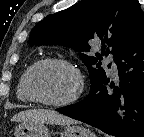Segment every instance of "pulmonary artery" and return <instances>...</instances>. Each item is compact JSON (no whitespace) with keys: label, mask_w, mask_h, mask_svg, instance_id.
<instances>
[{"label":"pulmonary artery","mask_w":144,"mask_h":137,"mask_svg":"<svg viewBox=\"0 0 144 137\" xmlns=\"http://www.w3.org/2000/svg\"><path fill=\"white\" fill-rule=\"evenodd\" d=\"M106 63H110L111 64V69H112V72L114 74L117 73V65L116 63L114 62V56L112 54H109L106 59H105Z\"/></svg>","instance_id":"1"}]
</instances>
